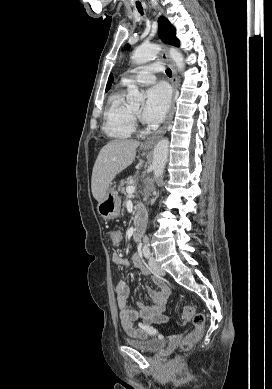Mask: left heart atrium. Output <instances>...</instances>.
<instances>
[{"instance_id": "left-heart-atrium-1", "label": "left heart atrium", "mask_w": 272, "mask_h": 389, "mask_svg": "<svg viewBox=\"0 0 272 389\" xmlns=\"http://www.w3.org/2000/svg\"><path fill=\"white\" fill-rule=\"evenodd\" d=\"M170 105V92L164 85H155L146 93L143 119L148 123H158L165 117Z\"/></svg>"}]
</instances>
